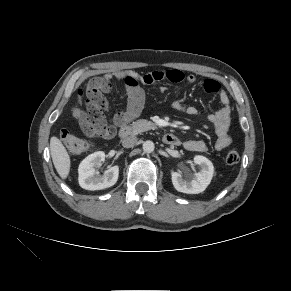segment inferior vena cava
I'll use <instances>...</instances> for the list:
<instances>
[{"label":"inferior vena cava","mask_w":291,"mask_h":291,"mask_svg":"<svg viewBox=\"0 0 291 291\" xmlns=\"http://www.w3.org/2000/svg\"><path fill=\"white\" fill-rule=\"evenodd\" d=\"M137 143L136 136H128L122 140V146L125 148L133 147Z\"/></svg>","instance_id":"1"}]
</instances>
